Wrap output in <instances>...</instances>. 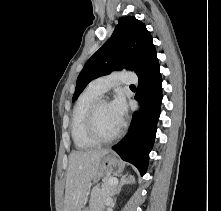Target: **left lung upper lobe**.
I'll use <instances>...</instances> for the list:
<instances>
[{"label":"left lung upper lobe","mask_w":221,"mask_h":211,"mask_svg":"<svg viewBox=\"0 0 221 211\" xmlns=\"http://www.w3.org/2000/svg\"><path fill=\"white\" fill-rule=\"evenodd\" d=\"M155 54L151 34L144 23L132 16L121 18L111 38L86 62L77 78L72 102L90 81L114 70L125 67L138 75Z\"/></svg>","instance_id":"left-lung-upper-lobe-1"}]
</instances>
